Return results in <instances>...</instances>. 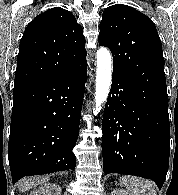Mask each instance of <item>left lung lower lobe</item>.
Here are the masks:
<instances>
[{
    "instance_id": "left-lung-lower-lobe-1",
    "label": "left lung lower lobe",
    "mask_w": 178,
    "mask_h": 195,
    "mask_svg": "<svg viewBox=\"0 0 178 195\" xmlns=\"http://www.w3.org/2000/svg\"><path fill=\"white\" fill-rule=\"evenodd\" d=\"M102 131L105 174L140 176L162 187L170 153L168 95L113 73Z\"/></svg>"
}]
</instances>
